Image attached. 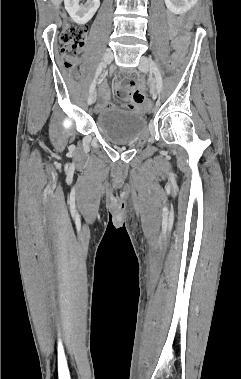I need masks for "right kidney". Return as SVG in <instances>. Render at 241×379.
Listing matches in <instances>:
<instances>
[{"mask_svg": "<svg viewBox=\"0 0 241 379\" xmlns=\"http://www.w3.org/2000/svg\"><path fill=\"white\" fill-rule=\"evenodd\" d=\"M65 9L72 20L79 24H86L96 13L100 6V0H87L85 5L80 0H64Z\"/></svg>", "mask_w": 241, "mask_h": 379, "instance_id": "obj_1", "label": "right kidney"}]
</instances>
